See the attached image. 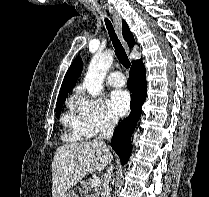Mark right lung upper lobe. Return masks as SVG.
Segmentation results:
<instances>
[{"instance_id": "1", "label": "right lung upper lobe", "mask_w": 209, "mask_h": 197, "mask_svg": "<svg viewBox=\"0 0 209 197\" xmlns=\"http://www.w3.org/2000/svg\"><path fill=\"white\" fill-rule=\"evenodd\" d=\"M122 27H123V36L125 40L127 41L129 47H133L134 37L132 33L130 32L129 27L125 21H122ZM81 72H82V59L80 57H77L73 61L71 66L69 67L64 77V80H63V83L61 85V89L59 92L58 100L64 99L67 97L68 93L75 86L77 78L81 75Z\"/></svg>"}]
</instances>
